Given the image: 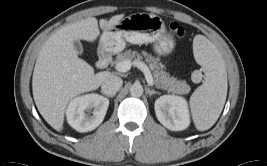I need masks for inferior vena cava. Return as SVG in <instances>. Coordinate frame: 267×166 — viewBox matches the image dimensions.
Instances as JSON below:
<instances>
[{
  "instance_id": "1",
  "label": "inferior vena cava",
  "mask_w": 267,
  "mask_h": 166,
  "mask_svg": "<svg viewBox=\"0 0 267 166\" xmlns=\"http://www.w3.org/2000/svg\"><path fill=\"white\" fill-rule=\"evenodd\" d=\"M122 79L115 75H110L101 84V90L105 95H115L122 86Z\"/></svg>"
}]
</instances>
